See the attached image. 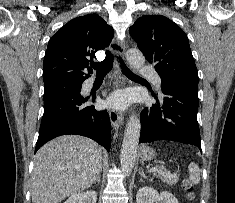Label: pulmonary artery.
<instances>
[{
    "mask_svg": "<svg viewBox=\"0 0 235 203\" xmlns=\"http://www.w3.org/2000/svg\"><path fill=\"white\" fill-rule=\"evenodd\" d=\"M141 73L143 75L148 76L157 88L161 87V78L159 77V75L155 71L143 68L141 70ZM93 82H94V79L91 78V79L88 80L87 83L92 84Z\"/></svg>",
    "mask_w": 235,
    "mask_h": 203,
    "instance_id": "1",
    "label": "pulmonary artery"
}]
</instances>
